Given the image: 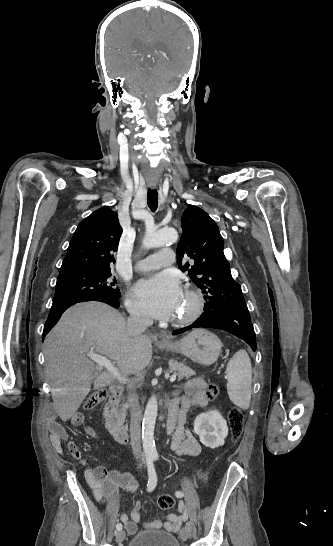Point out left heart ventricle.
<instances>
[{
	"label": "left heart ventricle",
	"mask_w": 333,
	"mask_h": 546,
	"mask_svg": "<svg viewBox=\"0 0 333 546\" xmlns=\"http://www.w3.org/2000/svg\"><path fill=\"white\" fill-rule=\"evenodd\" d=\"M191 308V300L190 298L185 294V292L182 293V296L177 304V307L175 309L173 319H178L183 316H185L188 311Z\"/></svg>",
	"instance_id": "left-heart-ventricle-1"
}]
</instances>
